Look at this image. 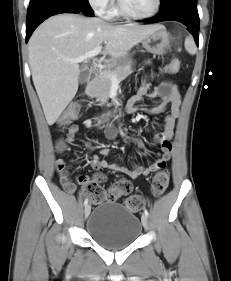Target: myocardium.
<instances>
[{"label":"myocardium","mask_w":231,"mask_h":281,"mask_svg":"<svg viewBox=\"0 0 231 281\" xmlns=\"http://www.w3.org/2000/svg\"><path fill=\"white\" fill-rule=\"evenodd\" d=\"M117 5H118V12L122 16L130 18V19H134V20H147V19H151V18L155 17L160 12L161 6H162V0H156L154 9L150 13L144 14V15L135 14V13L129 11L125 7L123 0H117Z\"/></svg>","instance_id":"1"}]
</instances>
